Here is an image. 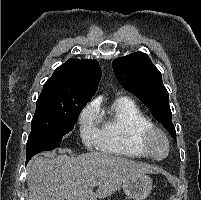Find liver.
<instances>
[{
    "mask_svg": "<svg viewBox=\"0 0 201 200\" xmlns=\"http://www.w3.org/2000/svg\"><path fill=\"white\" fill-rule=\"evenodd\" d=\"M47 153L31 160L27 169L28 200H97L115 193L129 177L152 174L145 164L107 153L75 158ZM98 182L96 193L92 182Z\"/></svg>",
    "mask_w": 201,
    "mask_h": 200,
    "instance_id": "obj_1",
    "label": "liver"
}]
</instances>
